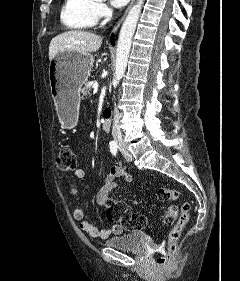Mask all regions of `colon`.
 Returning a JSON list of instances; mask_svg holds the SVG:
<instances>
[{"label":"colon","instance_id":"1","mask_svg":"<svg viewBox=\"0 0 240 281\" xmlns=\"http://www.w3.org/2000/svg\"><path fill=\"white\" fill-rule=\"evenodd\" d=\"M76 166L77 158L74 152L69 148L62 149L57 157L58 169L64 172L73 171ZM158 198L161 201H175L179 198V193L175 189L163 187L158 190ZM189 215L190 204L186 201L180 206L173 205L164 212V220L167 223L171 224L176 220L177 222L168 233L167 243L160 245L157 250L158 256L155 263L158 267H165L170 263ZM106 216L109 221L117 223L128 231L141 230L147 225V220L143 215L130 212L126 204L120 201H107Z\"/></svg>","mask_w":240,"mask_h":281}]
</instances>
